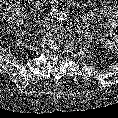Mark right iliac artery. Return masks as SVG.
I'll return each mask as SVG.
<instances>
[{
	"label": "right iliac artery",
	"mask_w": 118,
	"mask_h": 118,
	"mask_svg": "<svg viewBox=\"0 0 118 118\" xmlns=\"http://www.w3.org/2000/svg\"><path fill=\"white\" fill-rule=\"evenodd\" d=\"M59 15L58 11L56 9H53L51 12L52 17H57Z\"/></svg>",
	"instance_id": "1"
}]
</instances>
